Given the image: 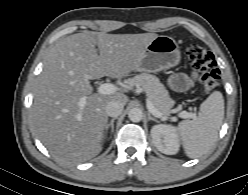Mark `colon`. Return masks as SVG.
Here are the masks:
<instances>
[{"label": "colon", "instance_id": "obj_1", "mask_svg": "<svg viewBox=\"0 0 248 195\" xmlns=\"http://www.w3.org/2000/svg\"><path fill=\"white\" fill-rule=\"evenodd\" d=\"M186 55L190 66L200 73L203 93H211L220 82L214 54L198 44H190L186 48Z\"/></svg>", "mask_w": 248, "mask_h": 195}]
</instances>
